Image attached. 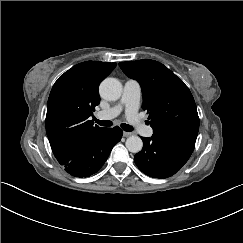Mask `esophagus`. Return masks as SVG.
Listing matches in <instances>:
<instances>
[{
    "instance_id": "obj_1",
    "label": "esophagus",
    "mask_w": 243,
    "mask_h": 243,
    "mask_svg": "<svg viewBox=\"0 0 243 243\" xmlns=\"http://www.w3.org/2000/svg\"><path fill=\"white\" fill-rule=\"evenodd\" d=\"M132 135H133V133H131V132H123V137H129Z\"/></svg>"
}]
</instances>
